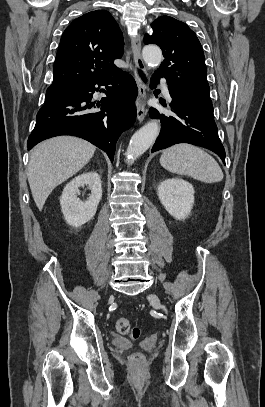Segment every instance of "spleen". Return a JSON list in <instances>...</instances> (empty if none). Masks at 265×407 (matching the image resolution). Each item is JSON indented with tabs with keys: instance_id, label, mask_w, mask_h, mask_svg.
I'll list each match as a JSON object with an SVG mask.
<instances>
[{
	"instance_id": "obj_1",
	"label": "spleen",
	"mask_w": 265,
	"mask_h": 407,
	"mask_svg": "<svg viewBox=\"0 0 265 407\" xmlns=\"http://www.w3.org/2000/svg\"><path fill=\"white\" fill-rule=\"evenodd\" d=\"M160 164L172 173L188 175L206 183L223 179V172L217 161L203 149L187 143L164 150Z\"/></svg>"
}]
</instances>
